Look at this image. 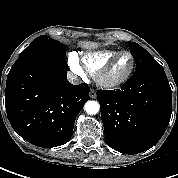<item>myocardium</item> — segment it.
<instances>
[{
    "label": "myocardium",
    "mask_w": 178,
    "mask_h": 178,
    "mask_svg": "<svg viewBox=\"0 0 178 178\" xmlns=\"http://www.w3.org/2000/svg\"><path fill=\"white\" fill-rule=\"evenodd\" d=\"M128 54L132 59V66L129 71L119 79L116 80H109L107 79V73L111 69V67L115 64V62L120 58L122 55ZM136 67V60L132 52L124 50L117 53L113 58H111L101 69H99L95 74V81L98 86L107 89L113 90L121 87L124 85L132 76Z\"/></svg>",
    "instance_id": "myocardium-1"
}]
</instances>
